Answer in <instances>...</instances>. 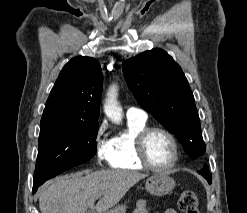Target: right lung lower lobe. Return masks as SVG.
<instances>
[{
	"label": "right lung lower lobe",
	"mask_w": 247,
	"mask_h": 213,
	"mask_svg": "<svg viewBox=\"0 0 247 213\" xmlns=\"http://www.w3.org/2000/svg\"><path fill=\"white\" fill-rule=\"evenodd\" d=\"M37 188H38V186L34 185L33 186V192H36Z\"/></svg>",
	"instance_id": "right-lung-lower-lobe-1"
}]
</instances>
